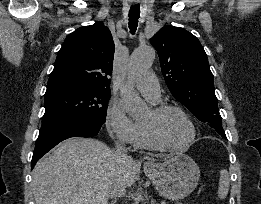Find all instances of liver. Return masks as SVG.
<instances>
[{"mask_svg":"<svg viewBox=\"0 0 261 204\" xmlns=\"http://www.w3.org/2000/svg\"><path fill=\"white\" fill-rule=\"evenodd\" d=\"M138 170L130 156L119 163L103 142L74 137L37 162L33 194L36 204H107L113 183L131 187Z\"/></svg>","mask_w":261,"mask_h":204,"instance_id":"6515ba94","label":"liver"}]
</instances>
